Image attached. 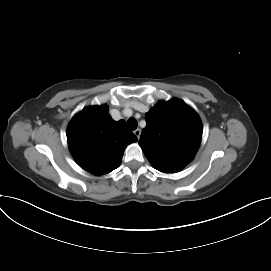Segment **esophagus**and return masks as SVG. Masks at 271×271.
<instances>
[{
  "mask_svg": "<svg viewBox=\"0 0 271 271\" xmlns=\"http://www.w3.org/2000/svg\"><path fill=\"white\" fill-rule=\"evenodd\" d=\"M134 134L135 136L137 137V139L140 138V135H141V130L139 128H137L135 131H134Z\"/></svg>",
  "mask_w": 271,
  "mask_h": 271,
  "instance_id": "obj_1",
  "label": "esophagus"
}]
</instances>
